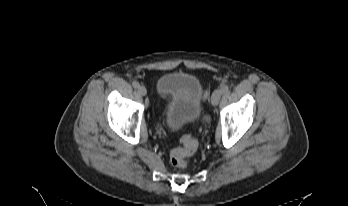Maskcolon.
<instances>
[{
	"mask_svg": "<svg viewBox=\"0 0 348 206\" xmlns=\"http://www.w3.org/2000/svg\"><path fill=\"white\" fill-rule=\"evenodd\" d=\"M181 143L182 146L174 149L170 154V163L176 168H185L187 158L197 149V141L191 135L184 136Z\"/></svg>",
	"mask_w": 348,
	"mask_h": 206,
	"instance_id": "1",
	"label": "colon"
}]
</instances>
